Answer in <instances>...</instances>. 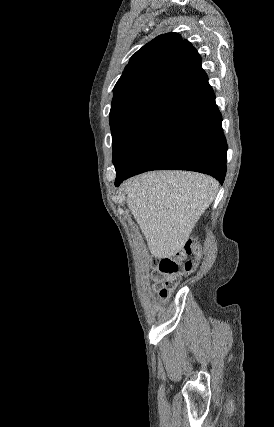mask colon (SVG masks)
<instances>
[{"mask_svg":"<svg viewBox=\"0 0 274 427\" xmlns=\"http://www.w3.org/2000/svg\"><path fill=\"white\" fill-rule=\"evenodd\" d=\"M194 256L193 259L188 257ZM201 247L192 240L184 245V250L177 255H166L160 260L153 262V271L157 274L153 281L157 283L158 303L165 305L171 290L175 287L178 275L193 272L201 261Z\"/></svg>","mask_w":274,"mask_h":427,"instance_id":"obj_1","label":"colon"}]
</instances>
